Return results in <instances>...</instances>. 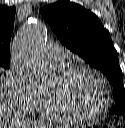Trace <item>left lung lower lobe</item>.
Masks as SVG:
<instances>
[{"mask_svg":"<svg viewBox=\"0 0 125 128\" xmlns=\"http://www.w3.org/2000/svg\"><path fill=\"white\" fill-rule=\"evenodd\" d=\"M109 112H110L111 114H114L115 111H114L113 113H112L111 111H109Z\"/></svg>","mask_w":125,"mask_h":128,"instance_id":"0a47b994","label":"left lung lower lobe"}]
</instances>
